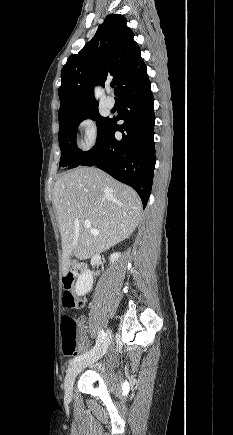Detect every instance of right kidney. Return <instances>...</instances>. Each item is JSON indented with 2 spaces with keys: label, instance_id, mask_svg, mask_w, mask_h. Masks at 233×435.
<instances>
[{
  "label": "right kidney",
  "instance_id": "obj_1",
  "mask_svg": "<svg viewBox=\"0 0 233 435\" xmlns=\"http://www.w3.org/2000/svg\"><path fill=\"white\" fill-rule=\"evenodd\" d=\"M120 257V253H113L110 256V262L113 264ZM93 278L90 270L84 271L77 279L75 291L78 296H83L91 291Z\"/></svg>",
  "mask_w": 233,
  "mask_h": 435
}]
</instances>
